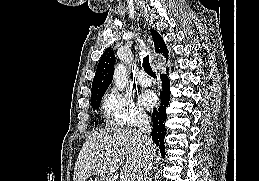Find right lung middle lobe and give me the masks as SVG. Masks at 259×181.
I'll return each instance as SVG.
<instances>
[{
    "instance_id": "dd1d6c3e",
    "label": "right lung middle lobe",
    "mask_w": 259,
    "mask_h": 181,
    "mask_svg": "<svg viewBox=\"0 0 259 181\" xmlns=\"http://www.w3.org/2000/svg\"><path fill=\"white\" fill-rule=\"evenodd\" d=\"M103 95L104 94H101V95H98V96L92 98L91 105H92L93 110L99 109L100 102H101Z\"/></svg>"
}]
</instances>
